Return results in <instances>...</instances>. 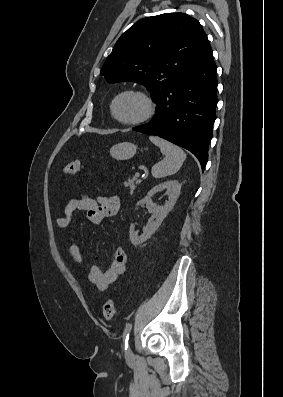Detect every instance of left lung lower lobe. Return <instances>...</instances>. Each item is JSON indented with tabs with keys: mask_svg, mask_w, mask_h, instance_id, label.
<instances>
[{
	"mask_svg": "<svg viewBox=\"0 0 283 397\" xmlns=\"http://www.w3.org/2000/svg\"><path fill=\"white\" fill-rule=\"evenodd\" d=\"M216 71L210 49L186 68L163 94L153 119L133 130L159 136L189 150L204 169L216 119Z\"/></svg>",
	"mask_w": 283,
	"mask_h": 397,
	"instance_id": "obj_1",
	"label": "left lung lower lobe"
}]
</instances>
